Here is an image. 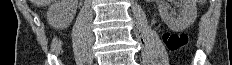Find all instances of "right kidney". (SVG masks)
Masks as SVG:
<instances>
[{
  "instance_id": "1",
  "label": "right kidney",
  "mask_w": 232,
  "mask_h": 65,
  "mask_svg": "<svg viewBox=\"0 0 232 65\" xmlns=\"http://www.w3.org/2000/svg\"><path fill=\"white\" fill-rule=\"evenodd\" d=\"M77 0H57L47 11V21L55 29L67 28L76 13Z\"/></svg>"
}]
</instances>
